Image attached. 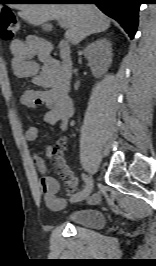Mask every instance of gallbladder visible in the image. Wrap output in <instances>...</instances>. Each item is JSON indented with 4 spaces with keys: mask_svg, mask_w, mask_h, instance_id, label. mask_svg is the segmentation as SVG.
Segmentation results:
<instances>
[{
    "mask_svg": "<svg viewBox=\"0 0 156 266\" xmlns=\"http://www.w3.org/2000/svg\"><path fill=\"white\" fill-rule=\"evenodd\" d=\"M42 29L45 31H50L51 30V26L49 24H43L42 25Z\"/></svg>",
    "mask_w": 156,
    "mask_h": 266,
    "instance_id": "obj_1",
    "label": "gallbladder"
}]
</instances>
